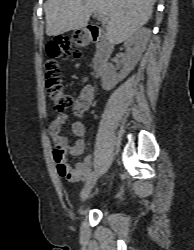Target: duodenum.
<instances>
[{
    "mask_svg": "<svg viewBox=\"0 0 194 250\" xmlns=\"http://www.w3.org/2000/svg\"><path fill=\"white\" fill-rule=\"evenodd\" d=\"M85 38L96 44V53L93 59V72L95 75L99 76L105 69L113 52V44L103 29L96 24L87 25Z\"/></svg>",
    "mask_w": 194,
    "mask_h": 250,
    "instance_id": "obj_1",
    "label": "duodenum"
}]
</instances>
